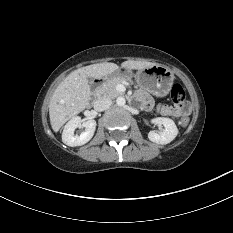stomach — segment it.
Returning <instances> with one entry per match:
<instances>
[{"label": "stomach", "mask_w": 233, "mask_h": 233, "mask_svg": "<svg viewBox=\"0 0 233 233\" xmlns=\"http://www.w3.org/2000/svg\"><path fill=\"white\" fill-rule=\"evenodd\" d=\"M132 75L131 70L126 68L118 69L104 77L105 80L112 78L122 77L125 79L130 78ZM136 81L138 85L149 93L157 96H166L173 85L174 74L173 72L161 65H153L136 73Z\"/></svg>", "instance_id": "stomach-1"}]
</instances>
